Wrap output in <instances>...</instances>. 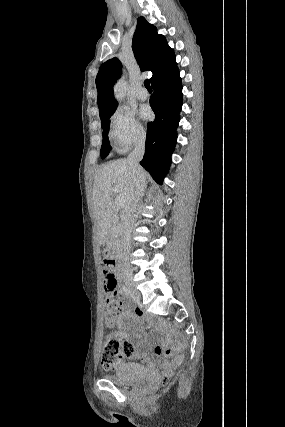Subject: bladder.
I'll list each match as a JSON object with an SVG mask.
<instances>
[{"label":"bladder","instance_id":"1","mask_svg":"<svg viewBox=\"0 0 285 427\" xmlns=\"http://www.w3.org/2000/svg\"><path fill=\"white\" fill-rule=\"evenodd\" d=\"M104 379L118 384H139L152 378V372L145 366L135 363H122L114 372L105 373Z\"/></svg>","mask_w":285,"mask_h":427}]
</instances>
